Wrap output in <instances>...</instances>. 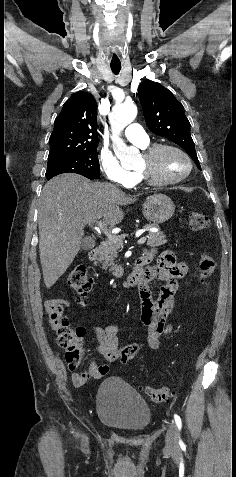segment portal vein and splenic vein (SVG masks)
Instances as JSON below:
<instances>
[{"label":"portal vein and splenic vein","instance_id":"18ae733b","mask_svg":"<svg viewBox=\"0 0 236 477\" xmlns=\"http://www.w3.org/2000/svg\"><path fill=\"white\" fill-rule=\"evenodd\" d=\"M97 228L102 230L109 240H111L115 243H122L119 236L113 234L110 230H108L106 224H104L103 222L99 221L98 225H97ZM146 240H147L146 237H142L137 241V243L138 244H144L146 242Z\"/></svg>","mask_w":236,"mask_h":477}]
</instances>
